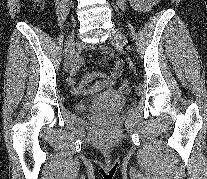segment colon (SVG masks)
<instances>
[{
  "label": "colon",
  "instance_id": "colon-1",
  "mask_svg": "<svg viewBox=\"0 0 207 179\" xmlns=\"http://www.w3.org/2000/svg\"><path fill=\"white\" fill-rule=\"evenodd\" d=\"M31 3H32L35 10L41 11L44 8L45 0H31ZM120 91L124 94H127V93L130 92V85H129V82L127 80H125L121 84Z\"/></svg>",
  "mask_w": 207,
  "mask_h": 179
}]
</instances>
